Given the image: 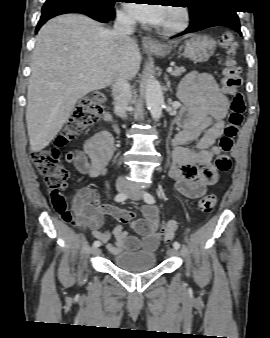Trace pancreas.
I'll return each instance as SVG.
<instances>
[{"label": "pancreas", "mask_w": 270, "mask_h": 338, "mask_svg": "<svg viewBox=\"0 0 270 338\" xmlns=\"http://www.w3.org/2000/svg\"><path fill=\"white\" fill-rule=\"evenodd\" d=\"M184 72H185L184 67H176L175 70L171 72V75L172 76H180Z\"/></svg>", "instance_id": "pancreas-1"}]
</instances>
